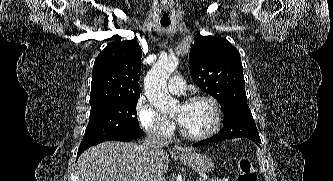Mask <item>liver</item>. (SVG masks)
<instances>
[{
	"label": "liver",
	"instance_id": "6515ba94",
	"mask_svg": "<svg viewBox=\"0 0 333 181\" xmlns=\"http://www.w3.org/2000/svg\"><path fill=\"white\" fill-rule=\"evenodd\" d=\"M169 158L165 151L158 166L163 174ZM150 157L145 145L107 141L86 150L78 160V181H147Z\"/></svg>",
	"mask_w": 333,
	"mask_h": 181
}]
</instances>
